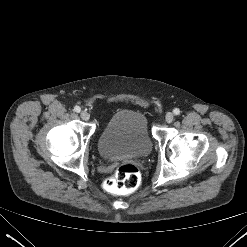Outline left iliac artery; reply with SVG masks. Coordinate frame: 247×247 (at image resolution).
<instances>
[{
    "mask_svg": "<svg viewBox=\"0 0 247 247\" xmlns=\"http://www.w3.org/2000/svg\"><path fill=\"white\" fill-rule=\"evenodd\" d=\"M173 113H174L175 115H179V114H180V110H179L178 108H175V109L173 110Z\"/></svg>",
    "mask_w": 247,
    "mask_h": 247,
    "instance_id": "left-iliac-artery-1",
    "label": "left iliac artery"
}]
</instances>
